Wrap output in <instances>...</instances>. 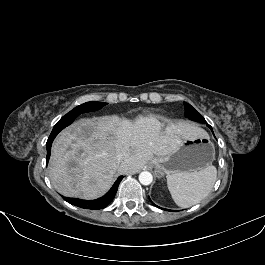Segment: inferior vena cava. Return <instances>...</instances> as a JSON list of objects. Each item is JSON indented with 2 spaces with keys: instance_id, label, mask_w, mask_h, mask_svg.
I'll list each match as a JSON object with an SVG mask.
<instances>
[{
  "instance_id": "1",
  "label": "inferior vena cava",
  "mask_w": 265,
  "mask_h": 265,
  "mask_svg": "<svg viewBox=\"0 0 265 265\" xmlns=\"http://www.w3.org/2000/svg\"><path fill=\"white\" fill-rule=\"evenodd\" d=\"M123 159H124L123 154L117 155V164H118V167H120L121 165H123Z\"/></svg>"
}]
</instances>
